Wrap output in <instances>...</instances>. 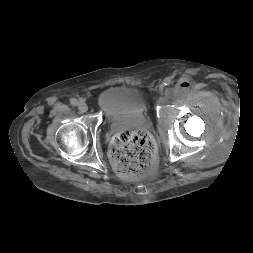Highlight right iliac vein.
Returning <instances> with one entry per match:
<instances>
[{
	"label": "right iliac vein",
	"mask_w": 253,
	"mask_h": 253,
	"mask_svg": "<svg viewBox=\"0 0 253 253\" xmlns=\"http://www.w3.org/2000/svg\"><path fill=\"white\" fill-rule=\"evenodd\" d=\"M78 109H79L80 112L84 113V112H86L88 110V106H87L86 103L80 102L78 104Z\"/></svg>",
	"instance_id": "right-iliac-vein-1"
}]
</instances>
